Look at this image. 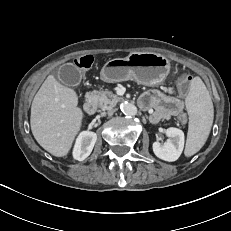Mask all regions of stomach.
<instances>
[{
  "label": "stomach",
  "mask_w": 231,
  "mask_h": 231,
  "mask_svg": "<svg viewBox=\"0 0 231 231\" xmlns=\"http://www.w3.org/2000/svg\"><path fill=\"white\" fill-rule=\"evenodd\" d=\"M170 71L169 60L158 53L136 52L126 58L109 60L101 69V79L108 83L135 80L152 86L161 83Z\"/></svg>",
  "instance_id": "stomach-1"
}]
</instances>
